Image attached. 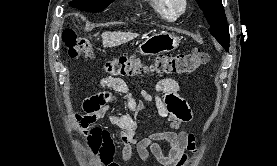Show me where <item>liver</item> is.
<instances>
[{"label":"liver","instance_id":"1","mask_svg":"<svg viewBox=\"0 0 277 166\" xmlns=\"http://www.w3.org/2000/svg\"><path fill=\"white\" fill-rule=\"evenodd\" d=\"M138 34L132 32H104L102 33V43L104 47H115L133 40Z\"/></svg>","mask_w":277,"mask_h":166}]
</instances>
